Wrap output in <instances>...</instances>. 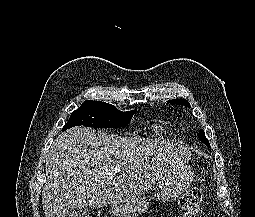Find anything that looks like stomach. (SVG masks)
Returning a JSON list of instances; mask_svg holds the SVG:
<instances>
[{
  "label": "stomach",
  "mask_w": 255,
  "mask_h": 217,
  "mask_svg": "<svg viewBox=\"0 0 255 217\" xmlns=\"http://www.w3.org/2000/svg\"><path fill=\"white\" fill-rule=\"evenodd\" d=\"M193 178L194 171L186 164L164 175L159 181L161 200L170 201L179 197L188 188ZM148 206L149 200L147 198L138 197L128 201L113 203L111 205V212L116 217H139L147 211Z\"/></svg>",
  "instance_id": "1"
}]
</instances>
